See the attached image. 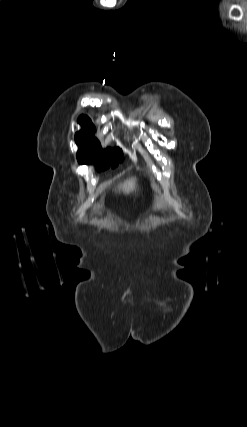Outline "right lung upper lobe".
Instances as JSON below:
<instances>
[{
	"label": "right lung upper lobe",
	"instance_id": "right-lung-upper-lobe-1",
	"mask_svg": "<svg viewBox=\"0 0 247 427\" xmlns=\"http://www.w3.org/2000/svg\"><path fill=\"white\" fill-rule=\"evenodd\" d=\"M78 122L83 126L84 129H95L91 123V120L87 116H80Z\"/></svg>",
	"mask_w": 247,
	"mask_h": 427
}]
</instances>
